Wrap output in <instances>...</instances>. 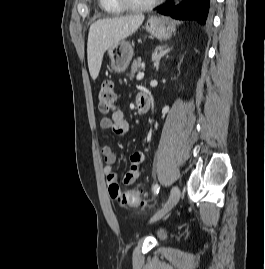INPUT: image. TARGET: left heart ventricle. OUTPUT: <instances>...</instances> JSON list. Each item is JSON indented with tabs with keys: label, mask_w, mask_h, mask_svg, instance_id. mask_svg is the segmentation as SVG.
Wrapping results in <instances>:
<instances>
[{
	"label": "left heart ventricle",
	"mask_w": 265,
	"mask_h": 269,
	"mask_svg": "<svg viewBox=\"0 0 265 269\" xmlns=\"http://www.w3.org/2000/svg\"><path fill=\"white\" fill-rule=\"evenodd\" d=\"M134 2H138V3H144V2H147L149 0H133Z\"/></svg>",
	"instance_id": "1"
}]
</instances>
